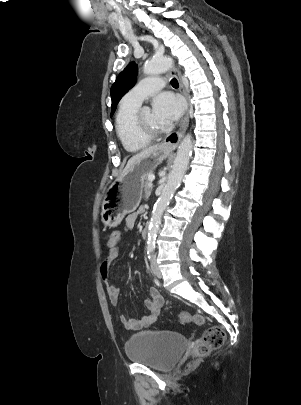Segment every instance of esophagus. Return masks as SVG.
I'll return each instance as SVG.
<instances>
[{"mask_svg": "<svg viewBox=\"0 0 301 405\" xmlns=\"http://www.w3.org/2000/svg\"><path fill=\"white\" fill-rule=\"evenodd\" d=\"M170 73L173 74L176 79L179 82L180 85V89L186 99V103H187V108H186V113L184 118L181 121L180 124V129L177 132L171 133L168 136L165 137V139L162 142V147L165 148H169V149H174L178 146L179 142L181 141L183 135L185 134L187 127H188V123H189V97H188V93L185 89V86L183 84L182 81V77L180 72L176 69V68H171L170 69Z\"/></svg>", "mask_w": 301, "mask_h": 405, "instance_id": "1", "label": "esophagus"}]
</instances>
